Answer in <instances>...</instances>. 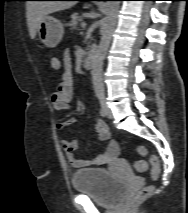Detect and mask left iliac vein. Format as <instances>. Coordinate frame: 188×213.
Returning <instances> with one entry per match:
<instances>
[{
	"label": "left iliac vein",
	"mask_w": 188,
	"mask_h": 213,
	"mask_svg": "<svg viewBox=\"0 0 188 213\" xmlns=\"http://www.w3.org/2000/svg\"><path fill=\"white\" fill-rule=\"evenodd\" d=\"M107 117L109 118V119H111L112 118V111L110 110V108L107 106Z\"/></svg>",
	"instance_id": "4c4485c4"
}]
</instances>
